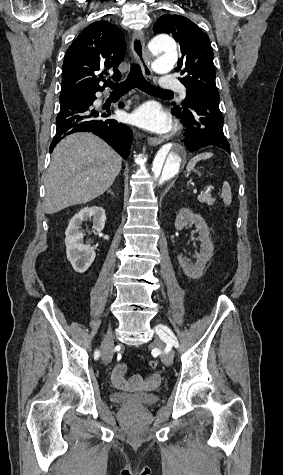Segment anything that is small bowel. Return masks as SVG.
I'll list each match as a JSON object with an SVG mask.
<instances>
[{
	"label": "small bowel",
	"mask_w": 283,
	"mask_h": 475,
	"mask_svg": "<svg viewBox=\"0 0 283 475\" xmlns=\"http://www.w3.org/2000/svg\"><path fill=\"white\" fill-rule=\"evenodd\" d=\"M127 366L124 363H118L114 366L111 372V382L113 386L120 390H129L131 385H138L141 382V374L138 371L133 372L132 376L128 379L126 377ZM159 371L150 375L147 380L151 386H156L160 381Z\"/></svg>",
	"instance_id": "c3829d8e"
}]
</instances>
